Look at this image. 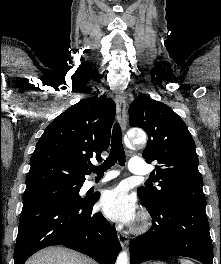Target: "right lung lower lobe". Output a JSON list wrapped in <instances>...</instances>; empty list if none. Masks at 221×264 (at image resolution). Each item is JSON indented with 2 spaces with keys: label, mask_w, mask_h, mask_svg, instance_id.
<instances>
[{
  "label": "right lung lower lobe",
  "mask_w": 221,
  "mask_h": 264,
  "mask_svg": "<svg viewBox=\"0 0 221 264\" xmlns=\"http://www.w3.org/2000/svg\"><path fill=\"white\" fill-rule=\"evenodd\" d=\"M99 196L82 202L38 199L23 201L14 264H24L38 250L64 245L95 259L115 264L121 245L114 226L92 213Z\"/></svg>",
  "instance_id": "obj_1"
}]
</instances>
